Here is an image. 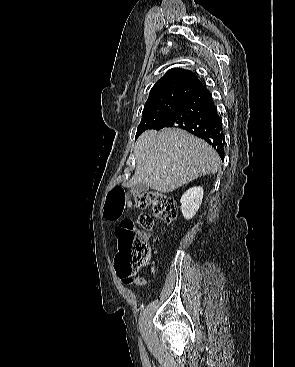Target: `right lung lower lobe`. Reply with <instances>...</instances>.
I'll list each match as a JSON object with an SVG mask.
<instances>
[{"label":"right lung lower lobe","mask_w":295,"mask_h":367,"mask_svg":"<svg viewBox=\"0 0 295 367\" xmlns=\"http://www.w3.org/2000/svg\"><path fill=\"white\" fill-rule=\"evenodd\" d=\"M166 127L181 128L204 139L224 159L222 122L205 86L195 91L153 129L161 130Z\"/></svg>","instance_id":"1"}]
</instances>
